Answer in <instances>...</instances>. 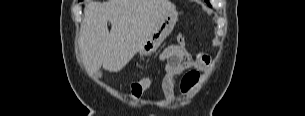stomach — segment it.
<instances>
[{
    "label": "stomach",
    "instance_id": "0dacf381",
    "mask_svg": "<svg viewBox=\"0 0 305 116\" xmlns=\"http://www.w3.org/2000/svg\"><path fill=\"white\" fill-rule=\"evenodd\" d=\"M177 20L178 13L176 11L162 15L147 40L139 49V54L141 56H147L154 53L172 32Z\"/></svg>",
    "mask_w": 305,
    "mask_h": 116
}]
</instances>
